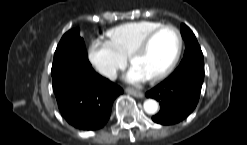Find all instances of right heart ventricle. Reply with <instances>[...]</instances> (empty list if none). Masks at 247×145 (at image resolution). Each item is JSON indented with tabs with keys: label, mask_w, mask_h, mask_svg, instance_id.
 Listing matches in <instances>:
<instances>
[{
	"label": "right heart ventricle",
	"mask_w": 247,
	"mask_h": 145,
	"mask_svg": "<svg viewBox=\"0 0 247 145\" xmlns=\"http://www.w3.org/2000/svg\"><path fill=\"white\" fill-rule=\"evenodd\" d=\"M161 25L156 21L127 22L108 30L107 36L114 47L127 56L145 35Z\"/></svg>",
	"instance_id": "right-heart-ventricle-1"
}]
</instances>
